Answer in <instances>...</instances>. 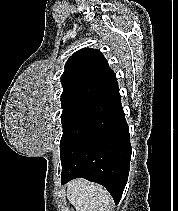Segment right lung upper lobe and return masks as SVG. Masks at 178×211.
I'll use <instances>...</instances> for the list:
<instances>
[{"mask_svg":"<svg viewBox=\"0 0 178 211\" xmlns=\"http://www.w3.org/2000/svg\"><path fill=\"white\" fill-rule=\"evenodd\" d=\"M61 82L62 107L81 102L97 103L118 91L114 72L96 49L84 48L74 53L65 65Z\"/></svg>","mask_w":178,"mask_h":211,"instance_id":"right-lung-upper-lobe-1","label":"right lung upper lobe"}]
</instances>
